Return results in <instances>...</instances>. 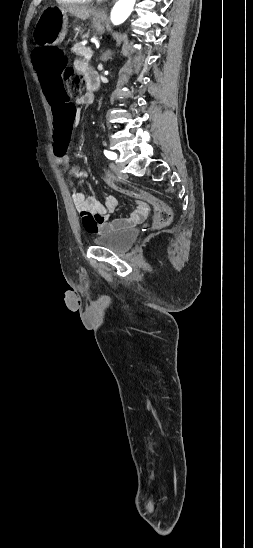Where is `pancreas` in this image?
I'll use <instances>...</instances> for the list:
<instances>
[{"label": "pancreas", "mask_w": 253, "mask_h": 548, "mask_svg": "<svg viewBox=\"0 0 253 548\" xmlns=\"http://www.w3.org/2000/svg\"><path fill=\"white\" fill-rule=\"evenodd\" d=\"M73 53L77 56L85 57L90 52V48L83 46L81 43H77L72 47Z\"/></svg>", "instance_id": "obj_1"}]
</instances>
